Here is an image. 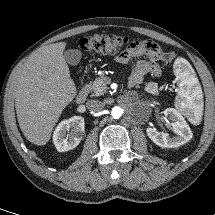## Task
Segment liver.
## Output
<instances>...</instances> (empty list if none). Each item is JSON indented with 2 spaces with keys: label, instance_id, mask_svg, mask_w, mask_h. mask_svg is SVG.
I'll return each mask as SVG.
<instances>
[{
  "label": "liver",
  "instance_id": "1",
  "mask_svg": "<svg viewBox=\"0 0 215 215\" xmlns=\"http://www.w3.org/2000/svg\"><path fill=\"white\" fill-rule=\"evenodd\" d=\"M59 42L34 51L13 77L15 108L25 138L45 145L64 108L77 89Z\"/></svg>",
  "mask_w": 215,
  "mask_h": 215
}]
</instances>
